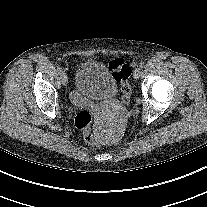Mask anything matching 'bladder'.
I'll use <instances>...</instances> for the list:
<instances>
[{
	"mask_svg": "<svg viewBox=\"0 0 207 207\" xmlns=\"http://www.w3.org/2000/svg\"><path fill=\"white\" fill-rule=\"evenodd\" d=\"M74 87L83 96L95 100L110 99L118 90L117 81L110 69L96 59H86L78 65Z\"/></svg>",
	"mask_w": 207,
	"mask_h": 207,
	"instance_id": "31cf9c89",
	"label": "bladder"
}]
</instances>
